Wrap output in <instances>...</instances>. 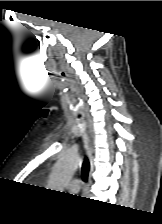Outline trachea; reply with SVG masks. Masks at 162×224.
<instances>
[{"label": "trachea", "instance_id": "trachea-1", "mask_svg": "<svg viewBox=\"0 0 162 224\" xmlns=\"http://www.w3.org/2000/svg\"><path fill=\"white\" fill-rule=\"evenodd\" d=\"M89 170H90V164L88 161V158L85 157L83 165H82V170H81V174H82V179L86 182L88 179V175H89Z\"/></svg>", "mask_w": 162, "mask_h": 224}]
</instances>
